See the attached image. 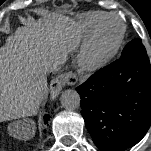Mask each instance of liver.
Wrapping results in <instances>:
<instances>
[{"label": "liver", "instance_id": "1", "mask_svg": "<svg viewBox=\"0 0 151 151\" xmlns=\"http://www.w3.org/2000/svg\"><path fill=\"white\" fill-rule=\"evenodd\" d=\"M80 42V30L65 16L19 27L0 48V122L35 114L45 97L48 66L63 64ZM35 135V126L26 138Z\"/></svg>", "mask_w": 151, "mask_h": 151}]
</instances>
